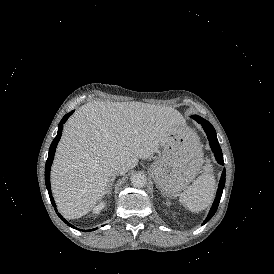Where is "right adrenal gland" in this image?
<instances>
[{
    "label": "right adrenal gland",
    "instance_id": "2a0ac1e0",
    "mask_svg": "<svg viewBox=\"0 0 274 274\" xmlns=\"http://www.w3.org/2000/svg\"><path fill=\"white\" fill-rule=\"evenodd\" d=\"M114 180H115V177L112 179V181H111V183H110V185H109V188H108V190H107V193H108V197H110V194H111V190H112V186H113V182H114Z\"/></svg>",
    "mask_w": 274,
    "mask_h": 274
}]
</instances>
